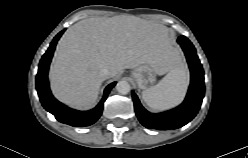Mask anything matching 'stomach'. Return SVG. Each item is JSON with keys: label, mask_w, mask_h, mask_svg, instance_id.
Returning <instances> with one entry per match:
<instances>
[{"label": "stomach", "mask_w": 248, "mask_h": 158, "mask_svg": "<svg viewBox=\"0 0 248 158\" xmlns=\"http://www.w3.org/2000/svg\"><path fill=\"white\" fill-rule=\"evenodd\" d=\"M176 64L169 58L163 63V70L166 72L170 71ZM156 70L149 64H143L136 67L132 72V77L136 81L139 88L146 90L153 86L156 82Z\"/></svg>", "instance_id": "0dacf381"}]
</instances>
